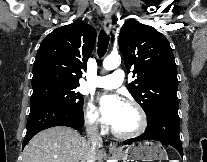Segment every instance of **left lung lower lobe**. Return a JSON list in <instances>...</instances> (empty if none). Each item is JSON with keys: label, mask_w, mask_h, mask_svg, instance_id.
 <instances>
[{"label": "left lung lower lobe", "mask_w": 207, "mask_h": 162, "mask_svg": "<svg viewBox=\"0 0 207 162\" xmlns=\"http://www.w3.org/2000/svg\"><path fill=\"white\" fill-rule=\"evenodd\" d=\"M179 132L180 122L178 106L166 105L158 107L153 114L148 117V127L142 135L128 139L124 141V143L131 144L134 141L140 140H156L163 144L171 145L183 156Z\"/></svg>", "instance_id": "0a47b994"}]
</instances>
